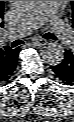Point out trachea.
<instances>
[{
    "instance_id": "obj_1",
    "label": "trachea",
    "mask_w": 74,
    "mask_h": 122,
    "mask_svg": "<svg viewBox=\"0 0 74 122\" xmlns=\"http://www.w3.org/2000/svg\"><path fill=\"white\" fill-rule=\"evenodd\" d=\"M44 38H46V39H52V40H57L56 36H54V35L51 34V33H46V34H44ZM23 43H24V42H23L22 40H15V41H13V42L11 43V46H12V47H16V46L21 45V44H23Z\"/></svg>"
}]
</instances>
